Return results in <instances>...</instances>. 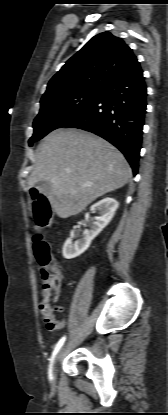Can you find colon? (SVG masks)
<instances>
[{
  "label": "colon",
  "mask_w": 168,
  "mask_h": 415,
  "mask_svg": "<svg viewBox=\"0 0 168 415\" xmlns=\"http://www.w3.org/2000/svg\"><path fill=\"white\" fill-rule=\"evenodd\" d=\"M33 216L37 226V232L33 237V250L35 258L40 266L45 284L52 287L59 285L60 269L49 244L43 239L40 230L49 227L52 220V212L48 200L38 192L32 194Z\"/></svg>",
  "instance_id": "colon-1"
}]
</instances>
